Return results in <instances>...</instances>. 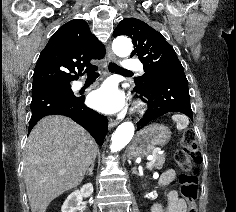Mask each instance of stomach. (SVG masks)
Listing matches in <instances>:
<instances>
[{"mask_svg":"<svg viewBox=\"0 0 236 212\" xmlns=\"http://www.w3.org/2000/svg\"><path fill=\"white\" fill-rule=\"evenodd\" d=\"M171 138V131L162 124H152L139 131L129 146L130 157H141L150 154L156 146L166 145Z\"/></svg>","mask_w":236,"mask_h":212,"instance_id":"1","label":"stomach"}]
</instances>
